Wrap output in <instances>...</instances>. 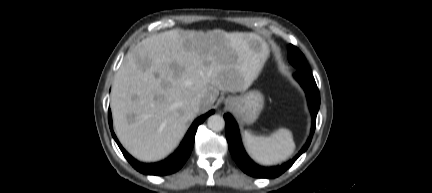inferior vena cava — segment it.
<instances>
[{"label": "inferior vena cava", "instance_id": "1", "mask_svg": "<svg viewBox=\"0 0 432 193\" xmlns=\"http://www.w3.org/2000/svg\"><path fill=\"white\" fill-rule=\"evenodd\" d=\"M200 104H201V100L200 99H194L192 102H191V108L194 110V111H198L199 110V108H200Z\"/></svg>", "mask_w": 432, "mask_h": 193}]
</instances>
